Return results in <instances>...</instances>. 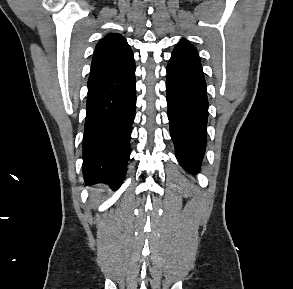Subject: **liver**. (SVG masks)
I'll list each match as a JSON object with an SVG mask.
<instances>
[{
	"mask_svg": "<svg viewBox=\"0 0 293 289\" xmlns=\"http://www.w3.org/2000/svg\"><path fill=\"white\" fill-rule=\"evenodd\" d=\"M100 192H102L101 189H91V193L94 194V196H97Z\"/></svg>",
	"mask_w": 293,
	"mask_h": 289,
	"instance_id": "obj_1",
	"label": "liver"
}]
</instances>
